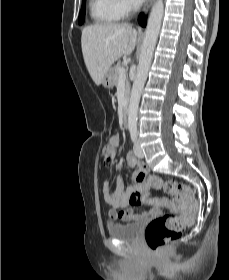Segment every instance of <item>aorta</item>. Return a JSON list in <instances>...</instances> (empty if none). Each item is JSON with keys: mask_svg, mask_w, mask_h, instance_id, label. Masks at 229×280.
Masks as SVG:
<instances>
[{"mask_svg": "<svg viewBox=\"0 0 229 280\" xmlns=\"http://www.w3.org/2000/svg\"><path fill=\"white\" fill-rule=\"evenodd\" d=\"M164 13V4L162 0H157L150 12L145 37L141 49L137 74L132 86L131 96L128 108V129L137 130V114L141 93L147 80L148 71L152 62L154 49L159 36L161 22Z\"/></svg>", "mask_w": 229, "mask_h": 280, "instance_id": "762f6f07", "label": "aorta"}]
</instances>
